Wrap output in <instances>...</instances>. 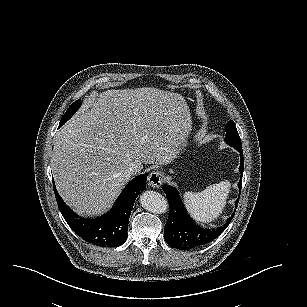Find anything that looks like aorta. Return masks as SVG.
Masks as SVG:
<instances>
[{
    "mask_svg": "<svg viewBox=\"0 0 307 307\" xmlns=\"http://www.w3.org/2000/svg\"><path fill=\"white\" fill-rule=\"evenodd\" d=\"M141 206L154 214L165 213L169 207L167 199L156 191H145L140 195Z\"/></svg>",
    "mask_w": 307,
    "mask_h": 307,
    "instance_id": "762f6f07",
    "label": "aorta"
}]
</instances>
